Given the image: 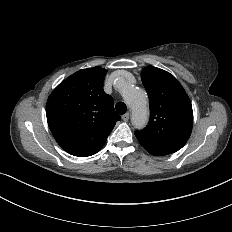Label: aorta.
I'll return each instance as SVG.
<instances>
[{"mask_svg": "<svg viewBox=\"0 0 232 232\" xmlns=\"http://www.w3.org/2000/svg\"><path fill=\"white\" fill-rule=\"evenodd\" d=\"M122 96L131 109V121L135 128L141 129L148 122V102L146 93L133 85L119 81Z\"/></svg>", "mask_w": 232, "mask_h": 232, "instance_id": "obj_1", "label": "aorta"}]
</instances>
